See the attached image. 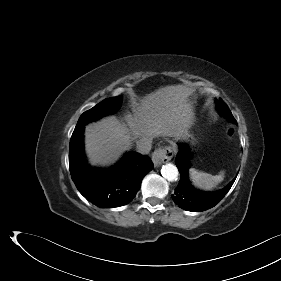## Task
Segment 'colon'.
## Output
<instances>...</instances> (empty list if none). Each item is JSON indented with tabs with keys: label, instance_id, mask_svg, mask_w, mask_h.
Instances as JSON below:
<instances>
[{
	"label": "colon",
	"instance_id": "obj_1",
	"mask_svg": "<svg viewBox=\"0 0 281 281\" xmlns=\"http://www.w3.org/2000/svg\"><path fill=\"white\" fill-rule=\"evenodd\" d=\"M228 135L231 136V135H232V132H231V131H228Z\"/></svg>",
	"mask_w": 281,
	"mask_h": 281
}]
</instances>
